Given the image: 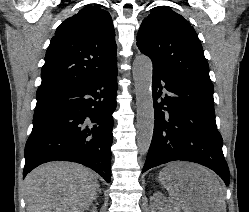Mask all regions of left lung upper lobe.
<instances>
[{
	"instance_id": "5c2ea615",
	"label": "left lung upper lobe",
	"mask_w": 249,
	"mask_h": 212,
	"mask_svg": "<svg viewBox=\"0 0 249 212\" xmlns=\"http://www.w3.org/2000/svg\"><path fill=\"white\" fill-rule=\"evenodd\" d=\"M150 12L140 26L137 46L151 58L153 67L213 87L194 28L167 7H155Z\"/></svg>"
}]
</instances>
